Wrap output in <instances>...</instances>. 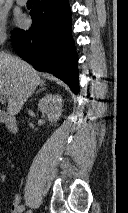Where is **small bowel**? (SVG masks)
Here are the masks:
<instances>
[{"label": "small bowel", "mask_w": 128, "mask_h": 213, "mask_svg": "<svg viewBox=\"0 0 128 213\" xmlns=\"http://www.w3.org/2000/svg\"><path fill=\"white\" fill-rule=\"evenodd\" d=\"M3 174H0V179H3ZM24 211V207L21 205L20 196L15 195L12 205H11V213H22Z\"/></svg>", "instance_id": "obj_1"}]
</instances>
